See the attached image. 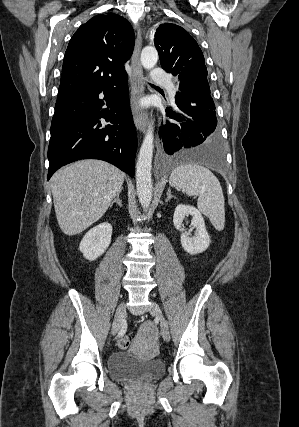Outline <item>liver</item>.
<instances>
[{"mask_svg": "<svg viewBox=\"0 0 299 427\" xmlns=\"http://www.w3.org/2000/svg\"><path fill=\"white\" fill-rule=\"evenodd\" d=\"M125 174L100 160H80L51 178L56 218L66 235H76L98 221L121 192Z\"/></svg>", "mask_w": 299, "mask_h": 427, "instance_id": "liver-1", "label": "liver"}]
</instances>
